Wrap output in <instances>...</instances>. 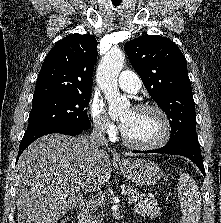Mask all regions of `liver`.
<instances>
[{
	"label": "liver",
	"mask_w": 221,
	"mask_h": 223,
	"mask_svg": "<svg viewBox=\"0 0 221 223\" xmlns=\"http://www.w3.org/2000/svg\"><path fill=\"white\" fill-rule=\"evenodd\" d=\"M88 136L50 134L33 142L15 168L18 223H55L89 191L110 179L105 148L90 146Z\"/></svg>",
	"instance_id": "liver-1"
}]
</instances>
